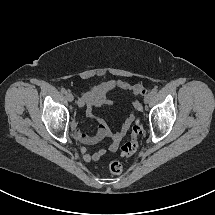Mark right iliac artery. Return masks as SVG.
Masks as SVG:
<instances>
[{"label":"right iliac artery","instance_id":"obj_1","mask_svg":"<svg viewBox=\"0 0 215 215\" xmlns=\"http://www.w3.org/2000/svg\"><path fill=\"white\" fill-rule=\"evenodd\" d=\"M61 92H62L63 94H66V93H67V90H66L65 88H62V89H61Z\"/></svg>","mask_w":215,"mask_h":215}]
</instances>
